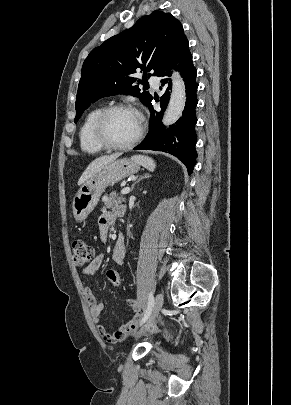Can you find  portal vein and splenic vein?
Here are the masks:
<instances>
[{
    "mask_svg": "<svg viewBox=\"0 0 291 405\" xmlns=\"http://www.w3.org/2000/svg\"><path fill=\"white\" fill-rule=\"evenodd\" d=\"M129 192H130V188H129V187L123 188V189L121 190V194H124V195L128 194Z\"/></svg>",
    "mask_w": 291,
    "mask_h": 405,
    "instance_id": "portal-vein-and-splenic-vein-1",
    "label": "portal vein and splenic vein"
}]
</instances>
